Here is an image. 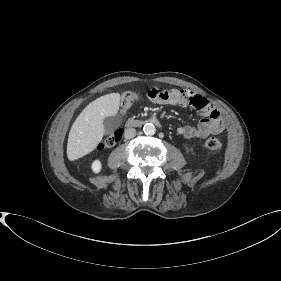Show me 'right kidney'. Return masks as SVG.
<instances>
[{"mask_svg": "<svg viewBox=\"0 0 281 281\" xmlns=\"http://www.w3.org/2000/svg\"><path fill=\"white\" fill-rule=\"evenodd\" d=\"M91 169L94 173H99L102 169V163L99 159L93 161Z\"/></svg>", "mask_w": 281, "mask_h": 281, "instance_id": "obj_1", "label": "right kidney"}]
</instances>
